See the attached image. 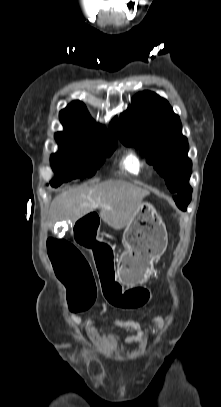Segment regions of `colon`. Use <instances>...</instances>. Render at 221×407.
I'll list each match as a JSON object with an SVG mask.
<instances>
[{"instance_id":"1","label":"colon","mask_w":221,"mask_h":407,"mask_svg":"<svg viewBox=\"0 0 221 407\" xmlns=\"http://www.w3.org/2000/svg\"><path fill=\"white\" fill-rule=\"evenodd\" d=\"M96 210H88L86 216H77L72 233L75 239L93 248L98 279L107 306L115 311H137L148 306L157 294L152 283H132L123 291L115 275L114 260L107 246L96 243L103 233ZM48 254L58 278L66 286L68 298L74 311L89 309L97 295V285L93 271L83 254L72 243L51 238L47 243Z\"/></svg>"}]
</instances>
